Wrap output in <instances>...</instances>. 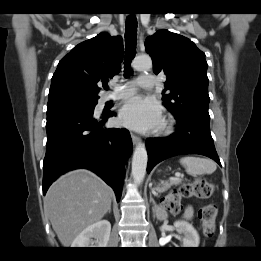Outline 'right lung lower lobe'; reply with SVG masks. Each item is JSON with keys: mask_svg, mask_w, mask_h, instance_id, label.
I'll return each mask as SVG.
<instances>
[{"mask_svg": "<svg viewBox=\"0 0 261 261\" xmlns=\"http://www.w3.org/2000/svg\"><path fill=\"white\" fill-rule=\"evenodd\" d=\"M113 112L95 118L94 111L66 110L47 115V144L43 162V194L61 174L86 168L98 174L120 200L125 161L132 150L126 129H105Z\"/></svg>", "mask_w": 261, "mask_h": 261, "instance_id": "98d812e1", "label": "right lung lower lobe"}]
</instances>
